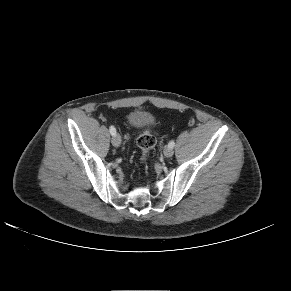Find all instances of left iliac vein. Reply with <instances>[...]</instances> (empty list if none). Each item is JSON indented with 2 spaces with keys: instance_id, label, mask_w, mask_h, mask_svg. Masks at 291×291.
I'll list each match as a JSON object with an SVG mask.
<instances>
[{
  "instance_id": "obj_1",
  "label": "left iliac vein",
  "mask_w": 291,
  "mask_h": 291,
  "mask_svg": "<svg viewBox=\"0 0 291 291\" xmlns=\"http://www.w3.org/2000/svg\"><path fill=\"white\" fill-rule=\"evenodd\" d=\"M174 151L171 147L167 146L164 148V155L166 157H171L173 155Z\"/></svg>"
}]
</instances>
